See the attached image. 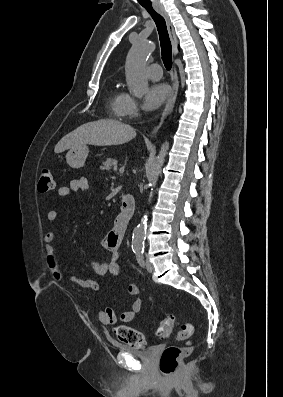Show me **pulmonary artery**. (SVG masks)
Listing matches in <instances>:
<instances>
[{
	"instance_id": "pulmonary-artery-1",
	"label": "pulmonary artery",
	"mask_w": 283,
	"mask_h": 397,
	"mask_svg": "<svg viewBox=\"0 0 283 397\" xmlns=\"http://www.w3.org/2000/svg\"><path fill=\"white\" fill-rule=\"evenodd\" d=\"M148 76L153 81H158L162 77V68L159 64L154 63L148 67Z\"/></svg>"
}]
</instances>
